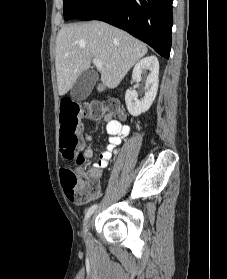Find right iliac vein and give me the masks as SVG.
<instances>
[{
  "label": "right iliac vein",
  "mask_w": 227,
  "mask_h": 279,
  "mask_svg": "<svg viewBox=\"0 0 227 279\" xmlns=\"http://www.w3.org/2000/svg\"><path fill=\"white\" fill-rule=\"evenodd\" d=\"M90 223H91V220L88 219V220L86 221V224H85V229H86V231L89 230V228H90Z\"/></svg>",
  "instance_id": "63e3f726"
}]
</instances>
